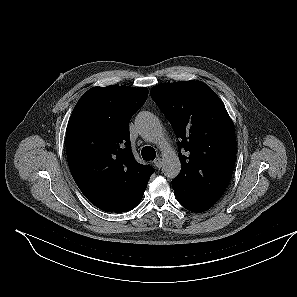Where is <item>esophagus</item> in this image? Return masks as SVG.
I'll list each match as a JSON object with an SVG mask.
<instances>
[{
	"label": "esophagus",
	"instance_id": "34e87169",
	"mask_svg": "<svg viewBox=\"0 0 297 297\" xmlns=\"http://www.w3.org/2000/svg\"><path fill=\"white\" fill-rule=\"evenodd\" d=\"M154 165L158 168V169H160L161 167H162V159L160 158V157H158V158H156L155 160H154Z\"/></svg>",
	"mask_w": 297,
	"mask_h": 297
}]
</instances>
